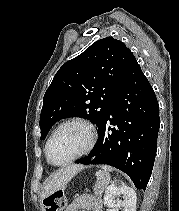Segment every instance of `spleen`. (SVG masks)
<instances>
[{"label":"spleen","instance_id":"3e777b00","mask_svg":"<svg viewBox=\"0 0 179 211\" xmlns=\"http://www.w3.org/2000/svg\"><path fill=\"white\" fill-rule=\"evenodd\" d=\"M102 169L105 170V171H111L112 170L111 168L106 167V166L102 167Z\"/></svg>","mask_w":179,"mask_h":211}]
</instances>
